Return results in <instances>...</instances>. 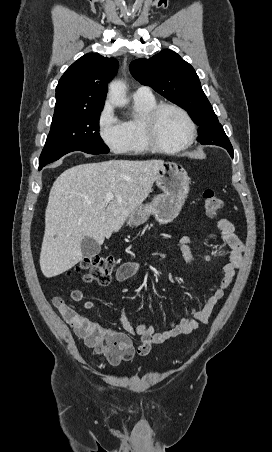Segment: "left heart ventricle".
Returning a JSON list of instances; mask_svg holds the SVG:
<instances>
[{
    "mask_svg": "<svg viewBox=\"0 0 272 452\" xmlns=\"http://www.w3.org/2000/svg\"><path fill=\"white\" fill-rule=\"evenodd\" d=\"M156 135L161 144L174 147L186 140L188 125L179 112L165 109L157 119Z\"/></svg>",
    "mask_w": 272,
    "mask_h": 452,
    "instance_id": "obj_1",
    "label": "left heart ventricle"
}]
</instances>
